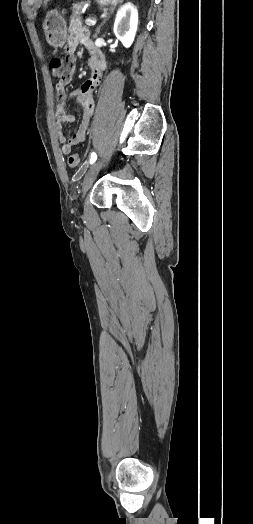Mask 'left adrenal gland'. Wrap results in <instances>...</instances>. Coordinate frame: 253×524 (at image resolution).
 Segmentation results:
<instances>
[{"label":"left adrenal gland","mask_w":253,"mask_h":524,"mask_svg":"<svg viewBox=\"0 0 253 524\" xmlns=\"http://www.w3.org/2000/svg\"><path fill=\"white\" fill-rule=\"evenodd\" d=\"M111 12H113V9H111ZM107 17H108V16H106L105 19L103 20V22H102V23L97 27V29H96V33H95V36H94V37H97L98 34L100 33V29H101V27L104 25V23L106 22Z\"/></svg>","instance_id":"a2214340"}]
</instances>
